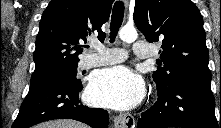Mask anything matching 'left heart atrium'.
<instances>
[{
	"label": "left heart atrium",
	"instance_id": "left-heart-atrium-1",
	"mask_svg": "<svg viewBox=\"0 0 221 128\" xmlns=\"http://www.w3.org/2000/svg\"><path fill=\"white\" fill-rule=\"evenodd\" d=\"M141 79L123 66L98 71L87 89V97L97 105L113 109H131L143 98Z\"/></svg>",
	"mask_w": 221,
	"mask_h": 128
}]
</instances>
